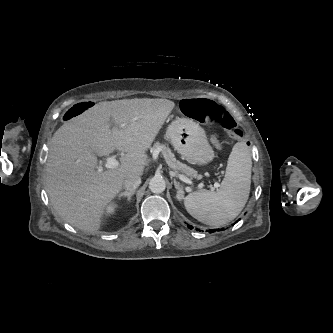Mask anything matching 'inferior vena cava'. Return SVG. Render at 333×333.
<instances>
[{"label":"inferior vena cava","instance_id":"1","mask_svg":"<svg viewBox=\"0 0 333 333\" xmlns=\"http://www.w3.org/2000/svg\"><path fill=\"white\" fill-rule=\"evenodd\" d=\"M141 184V178L138 175H129L124 179L123 186L127 191H135Z\"/></svg>","mask_w":333,"mask_h":333}]
</instances>
